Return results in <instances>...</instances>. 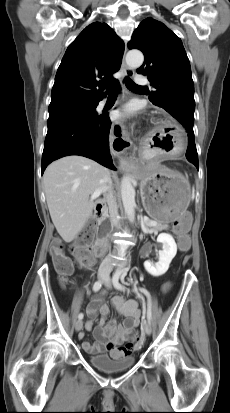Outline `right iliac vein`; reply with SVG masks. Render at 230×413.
<instances>
[{
	"label": "right iliac vein",
	"instance_id": "1",
	"mask_svg": "<svg viewBox=\"0 0 230 413\" xmlns=\"http://www.w3.org/2000/svg\"><path fill=\"white\" fill-rule=\"evenodd\" d=\"M99 278H100V279H104V278H105L104 272H101V273L99 274ZM82 327H83V321H82L81 319L77 320L76 323H75V330L78 332V331H80V330L82 329Z\"/></svg>",
	"mask_w": 230,
	"mask_h": 413
}]
</instances>
